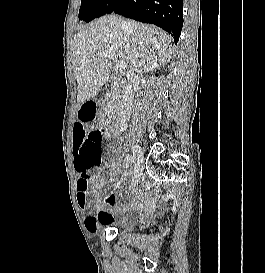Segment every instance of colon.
Wrapping results in <instances>:
<instances>
[{
	"label": "colon",
	"mask_w": 265,
	"mask_h": 273,
	"mask_svg": "<svg viewBox=\"0 0 265 273\" xmlns=\"http://www.w3.org/2000/svg\"><path fill=\"white\" fill-rule=\"evenodd\" d=\"M78 162L80 170L87 175L96 168L101 161V144L104 130L99 129H76Z\"/></svg>",
	"instance_id": "colon-1"
}]
</instances>
